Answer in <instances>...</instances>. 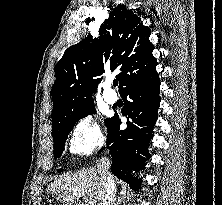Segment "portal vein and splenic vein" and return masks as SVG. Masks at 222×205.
<instances>
[{
  "label": "portal vein and splenic vein",
  "instance_id": "1",
  "mask_svg": "<svg viewBox=\"0 0 222 205\" xmlns=\"http://www.w3.org/2000/svg\"><path fill=\"white\" fill-rule=\"evenodd\" d=\"M78 195H83V193L81 194V193H79Z\"/></svg>",
  "mask_w": 222,
  "mask_h": 205
}]
</instances>
